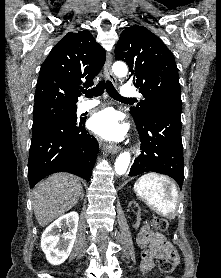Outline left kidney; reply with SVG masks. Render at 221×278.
<instances>
[{
	"mask_svg": "<svg viewBox=\"0 0 221 278\" xmlns=\"http://www.w3.org/2000/svg\"><path fill=\"white\" fill-rule=\"evenodd\" d=\"M130 206L131 205H134L135 207H138V213H137V221H138V223H139V221H140V208H139V206H138V204L135 202V201H132V202H130V204H129Z\"/></svg>",
	"mask_w": 221,
	"mask_h": 278,
	"instance_id": "obj_1",
	"label": "left kidney"
}]
</instances>
